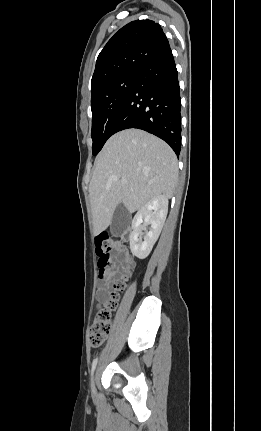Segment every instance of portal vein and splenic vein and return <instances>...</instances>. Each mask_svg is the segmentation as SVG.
<instances>
[{"label": "portal vein and splenic vein", "instance_id": "1", "mask_svg": "<svg viewBox=\"0 0 261 431\" xmlns=\"http://www.w3.org/2000/svg\"><path fill=\"white\" fill-rule=\"evenodd\" d=\"M121 182H122V184H126L127 183V181L125 179H122Z\"/></svg>", "mask_w": 261, "mask_h": 431}]
</instances>
